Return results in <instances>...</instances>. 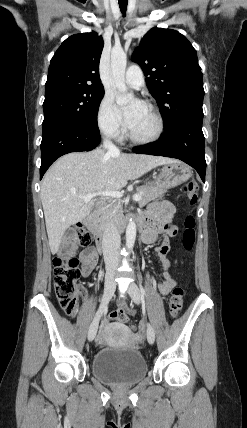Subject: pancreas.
I'll list each match as a JSON object with an SVG mask.
<instances>
[{"mask_svg": "<svg viewBox=\"0 0 247 428\" xmlns=\"http://www.w3.org/2000/svg\"><path fill=\"white\" fill-rule=\"evenodd\" d=\"M136 190L137 193L141 195V200L138 202L140 207L145 206L150 201L160 198L166 192V189L150 184L139 186L136 188ZM112 211L115 219L119 220L122 218L123 211L119 202L112 204ZM98 222L99 225L104 228L106 222V213L101 215V217L98 219Z\"/></svg>", "mask_w": 247, "mask_h": 428, "instance_id": "cf45deb5", "label": "pancreas"}]
</instances>
